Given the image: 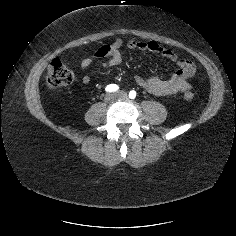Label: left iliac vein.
Segmentation results:
<instances>
[{"label":"left iliac vein","instance_id":"obj_1","mask_svg":"<svg viewBox=\"0 0 236 236\" xmlns=\"http://www.w3.org/2000/svg\"><path fill=\"white\" fill-rule=\"evenodd\" d=\"M115 95H116L117 98H120V99L127 98V93L125 91H119Z\"/></svg>","mask_w":236,"mask_h":236}]
</instances>
